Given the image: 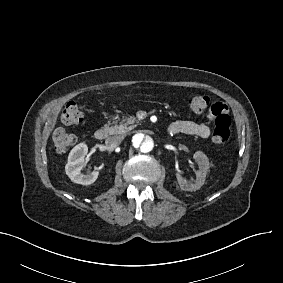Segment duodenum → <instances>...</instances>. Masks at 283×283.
I'll list each match as a JSON object with an SVG mask.
<instances>
[{"mask_svg":"<svg viewBox=\"0 0 283 283\" xmlns=\"http://www.w3.org/2000/svg\"><path fill=\"white\" fill-rule=\"evenodd\" d=\"M94 135L97 140L103 141L109 136V131L107 128L101 127L95 131Z\"/></svg>","mask_w":283,"mask_h":283,"instance_id":"1","label":"duodenum"}]
</instances>
